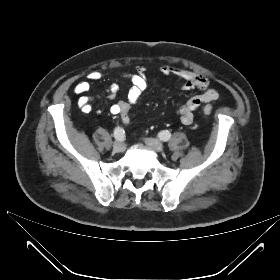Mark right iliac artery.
Here are the masks:
<instances>
[{
    "mask_svg": "<svg viewBox=\"0 0 280 280\" xmlns=\"http://www.w3.org/2000/svg\"><path fill=\"white\" fill-rule=\"evenodd\" d=\"M114 137L116 140L123 141L126 138L125 131L121 127H117L114 130Z\"/></svg>",
    "mask_w": 280,
    "mask_h": 280,
    "instance_id": "obj_1",
    "label": "right iliac artery"
}]
</instances>
